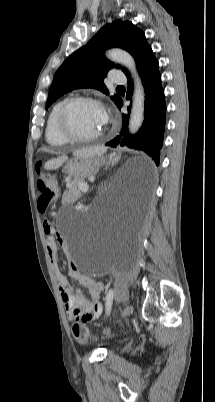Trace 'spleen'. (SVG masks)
Wrapping results in <instances>:
<instances>
[{
	"instance_id": "spleen-1",
	"label": "spleen",
	"mask_w": 215,
	"mask_h": 402,
	"mask_svg": "<svg viewBox=\"0 0 215 402\" xmlns=\"http://www.w3.org/2000/svg\"><path fill=\"white\" fill-rule=\"evenodd\" d=\"M104 151H105V148L99 146V147H95V148H89V149H84V150L77 151V152L75 153V155H77V156H83V155L89 156V155H93V154H95V153H102V152H104ZM66 159H67V157H66V156H63L62 158H60V160L57 159V160L48 161V162L46 163L45 167H46L47 169L53 168V167H55L56 165H58L59 162H60V163H63Z\"/></svg>"
}]
</instances>
